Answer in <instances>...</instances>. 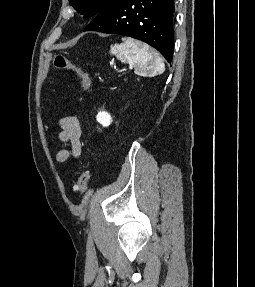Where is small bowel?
<instances>
[{"label":"small bowel","instance_id":"obj_1","mask_svg":"<svg viewBox=\"0 0 255 287\" xmlns=\"http://www.w3.org/2000/svg\"><path fill=\"white\" fill-rule=\"evenodd\" d=\"M59 126L58 139L66 147L57 152L55 159L58 163H64L81 154V126L79 120L74 116L62 118L59 121Z\"/></svg>","mask_w":255,"mask_h":287}]
</instances>
